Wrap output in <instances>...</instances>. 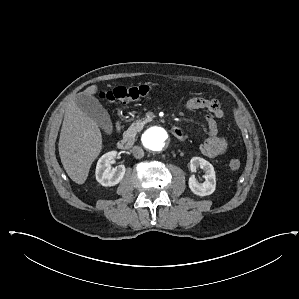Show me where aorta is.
<instances>
[{"label":"aorta","mask_w":299,"mask_h":299,"mask_svg":"<svg viewBox=\"0 0 299 299\" xmlns=\"http://www.w3.org/2000/svg\"><path fill=\"white\" fill-rule=\"evenodd\" d=\"M144 146L151 151H163L169 143V135L162 127H151L143 136Z\"/></svg>","instance_id":"1"}]
</instances>
